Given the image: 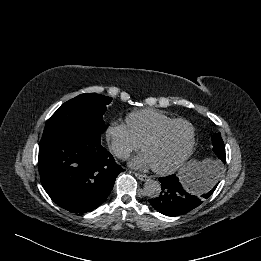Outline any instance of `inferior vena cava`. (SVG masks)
I'll list each match as a JSON object with an SVG mask.
<instances>
[{"instance_id":"inferior-vena-cava-1","label":"inferior vena cava","mask_w":261,"mask_h":261,"mask_svg":"<svg viewBox=\"0 0 261 261\" xmlns=\"http://www.w3.org/2000/svg\"><path fill=\"white\" fill-rule=\"evenodd\" d=\"M116 155L120 158H126L129 156V152L127 150H117Z\"/></svg>"}]
</instances>
